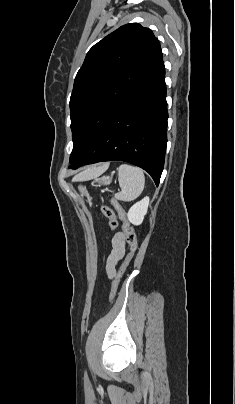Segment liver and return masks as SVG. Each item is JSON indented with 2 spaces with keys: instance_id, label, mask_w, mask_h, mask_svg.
Returning a JSON list of instances; mask_svg holds the SVG:
<instances>
[{
  "instance_id": "liver-1",
  "label": "liver",
  "mask_w": 235,
  "mask_h": 404,
  "mask_svg": "<svg viewBox=\"0 0 235 404\" xmlns=\"http://www.w3.org/2000/svg\"><path fill=\"white\" fill-rule=\"evenodd\" d=\"M105 167H106L105 165L100 166V167H88L83 172H81L80 174L75 176L74 179L85 180V179L97 177L100 173L103 172Z\"/></svg>"
}]
</instances>
